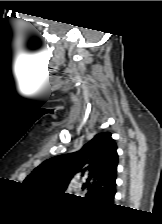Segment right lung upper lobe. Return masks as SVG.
Wrapping results in <instances>:
<instances>
[{
	"label": "right lung upper lobe",
	"instance_id": "obj_1",
	"mask_svg": "<svg viewBox=\"0 0 162 224\" xmlns=\"http://www.w3.org/2000/svg\"><path fill=\"white\" fill-rule=\"evenodd\" d=\"M117 145L111 133L97 134L83 148L44 161L25 179L32 187L63 193L74 175H86L87 195L110 202L115 195Z\"/></svg>",
	"mask_w": 162,
	"mask_h": 224
}]
</instances>
